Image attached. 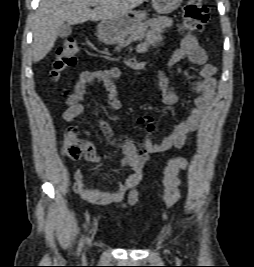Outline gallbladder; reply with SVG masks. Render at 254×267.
<instances>
[{
  "label": "gallbladder",
  "instance_id": "gallbladder-1",
  "mask_svg": "<svg viewBox=\"0 0 254 267\" xmlns=\"http://www.w3.org/2000/svg\"><path fill=\"white\" fill-rule=\"evenodd\" d=\"M72 32L70 24H63L59 29L58 36L61 38H66Z\"/></svg>",
  "mask_w": 254,
  "mask_h": 267
}]
</instances>
